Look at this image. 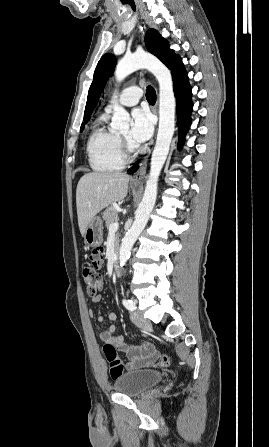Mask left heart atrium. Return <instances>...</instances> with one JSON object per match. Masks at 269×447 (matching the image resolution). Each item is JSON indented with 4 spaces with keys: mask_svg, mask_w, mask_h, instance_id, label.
I'll list each match as a JSON object with an SVG mask.
<instances>
[{
    "mask_svg": "<svg viewBox=\"0 0 269 447\" xmlns=\"http://www.w3.org/2000/svg\"><path fill=\"white\" fill-rule=\"evenodd\" d=\"M133 128L131 140L135 144L147 141L153 134L154 125L150 113L142 108H137L132 113Z\"/></svg>",
    "mask_w": 269,
    "mask_h": 447,
    "instance_id": "left-heart-atrium-1",
    "label": "left heart atrium"
}]
</instances>
